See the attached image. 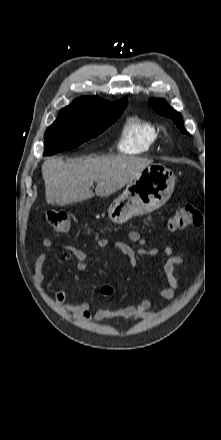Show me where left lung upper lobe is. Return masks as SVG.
I'll list each match as a JSON object with an SVG mask.
<instances>
[{
	"label": "left lung upper lobe",
	"instance_id": "1",
	"mask_svg": "<svg viewBox=\"0 0 221 440\" xmlns=\"http://www.w3.org/2000/svg\"><path fill=\"white\" fill-rule=\"evenodd\" d=\"M153 109L164 116L173 119L174 123L179 127L182 133L188 134L186 129L182 124L181 114L174 110L172 107L168 106L164 100H157L152 104Z\"/></svg>",
	"mask_w": 221,
	"mask_h": 440
}]
</instances>
